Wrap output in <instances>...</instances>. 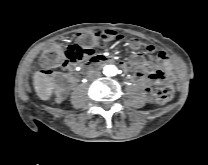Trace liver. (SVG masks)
Masks as SVG:
<instances>
[{"label": "liver", "instance_id": "6515ba94", "mask_svg": "<svg viewBox=\"0 0 208 165\" xmlns=\"http://www.w3.org/2000/svg\"><path fill=\"white\" fill-rule=\"evenodd\" d=\"M34 88L37 96L46 101L51 97L54 85L46 75L38 71L34 75Z\"/></svg>", "mask_w": 208, "mask_h": 165}]
</instances>
